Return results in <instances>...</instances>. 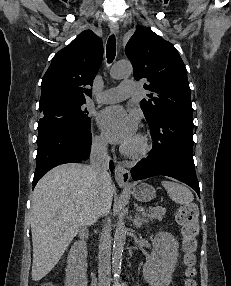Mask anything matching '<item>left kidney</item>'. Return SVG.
I'll return each instance as SVG.
<instances>
[{
    "label": "left kidney",
    "mask_w": 231,
    "mask_h": 286,
    "mask_svg": "<svg viewBox=\"0 0 231 286\" xmlns=\"http://www.w3.org/2000/svg\"><path fill=\"white\" fill-rule=\"evenodd\" d=\"M154 250L143 266V275L150 286H168L178 258L179 243L173 235L161 231L153 240Z\"/></svg>",
    "instance_id": "obj_1"
}]
</instances>
